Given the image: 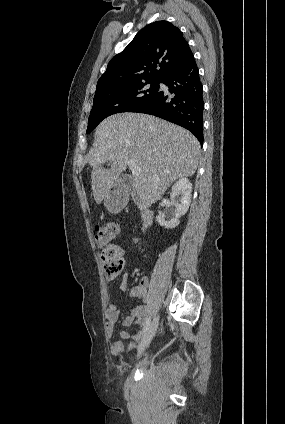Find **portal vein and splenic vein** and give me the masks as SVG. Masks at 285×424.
<instances>
[{
  "label": "portal vein and splenic vein",
  "instance_id": "obj_1",
  "mask_svg": "<svg viewBox=\"0 0 285 424\" xmlns=\"http://www.w3.org/2000/svg\"><path fill=\"white\" fill-rule=\"evenodd\" d=\"M128 166L130 167L132 175L134 177H137L141 174V168L138 167L134 161H129Z\"/></svg>",
  "mask_w": 285,
  "mask_h": 424
}]
</instances>
